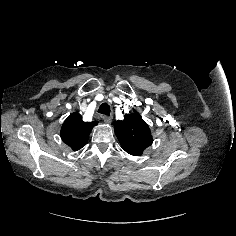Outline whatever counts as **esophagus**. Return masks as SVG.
<instances>
[{
    "label": "esophagus",
    "instance_id": "obj_1",
    "mask_svg": "<svg viewBox=\"0 0 236 236\" xmlns=\"http://www.w3.org/2000/svg\"><path fill=\"white\" fill-rule=\"evenodd\" d=\"M103 120H104L106 123H111V122H112V116L104 115V116H103Z\"/></svg>",
    "mask_w": 236,
    "mask_h": 236
}]
</instances>
